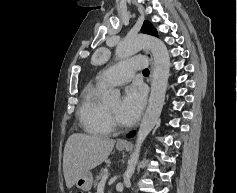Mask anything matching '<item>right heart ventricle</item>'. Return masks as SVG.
Segmentation results:
<instances>
[{"label":"right heart ventricle","instance_id":"1","mask_svg":"<svg viewBox=\"0 0 237 193\" xmlns=\"http://www.w3.org/2000/svg\"><path fill=\"white\" fill-rule=\"evenodd\" d=\"M105 88V85L95 81L86 85L81 93L77 114L83 130L91 135H107L111 131L101 101Z\"/></svg>","mask_w":237,"mask_h":193}]
</instances>
